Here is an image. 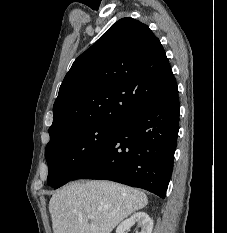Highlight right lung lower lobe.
<instances>
[{"label":"right lung lower lobe","mask_w":227,"mask_h":233,"mask_svg":"<svg viewBox=\"0 0 227 233\" xmlns=\"http://www.w3.org/2000/svg\"><path fill=\"white\" fill-rule=\"evenodd\" d=\"M179 110L175 84L125 117L108 142L72 180H111L165 198L173 170Z\"/></svg>","instance_id":"obj_1"}]
</instances>
